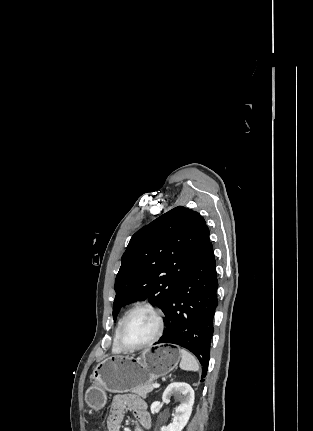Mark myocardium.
<instances>
[{"label": "myocardium", "instance_id": "myocardium-1", "mask_svg": "<svg viewBox=\"0 0 313 431\" xmlns=\"http://www.w3.org/2000/svg\"><path fill=\"white\" fill-rule=\"evenodd\" d=\"M140 310H148V311H151L155 315V317L157 319V325H158L157 331H156L155 335L149 341H147L141 345H138V346H127L122 340L123 331H124L126 325L128 324V322L130 321V319L133 317V315ZM164 327H165L164 314L159 308L155 307L152 304L137 305V306L133 307L127 313L125 318L123 319V321L119 327L118 333H117V338H116L117 344L123 351H137V350L147 348V347L151 346L152 344H154L161 337V335L163 334V331H164Z\"/></svg>", "mask_w": 313, "mask_h": 431}]
</instances>
